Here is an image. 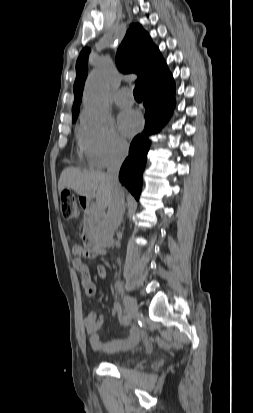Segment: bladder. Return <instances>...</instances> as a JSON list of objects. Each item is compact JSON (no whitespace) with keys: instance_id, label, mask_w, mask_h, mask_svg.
Listing matches in <instances>:
<instances>
[{"instance_id":"bladder-1","label":"bladder","mask_w":253,"mask_h":413,"mask_svg":"<svg viewBox=\"0 0 253 413\" xmlns=\"http://www.w3.org/2000/svg\"><path fill=\"white\" fill-rule=\"evenodd\" d=\"M132 360H133V358L125 357V358L119 359L118 361L122 362V363H129V362H132Z\"/></svg>"}]
</instances>
